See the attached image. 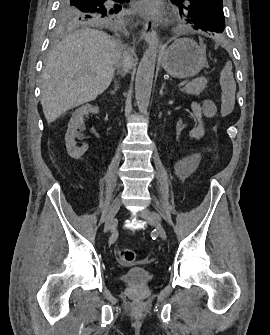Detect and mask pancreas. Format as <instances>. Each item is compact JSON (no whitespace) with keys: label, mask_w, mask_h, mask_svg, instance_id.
Returning a JSON list of instances; mask_svg holds the SVG:
<instances>
[{"label":"pancreas","mask_w":270,"mask_h":335,"mask_svg":"<svg viewBox=\"0 0 270 335\" xmlns=\"http://www.w3.org/2000/svg\"><path fill=\"white\" fill-rule=\"evenodd\" d=\"M207 82L208 80H206V78H196L193 82H188L182 90L183 92H186V94H195V96H199L200 92H203L204 88H206Z\"/></svg>","instance_id":"1"}]
</instances>
